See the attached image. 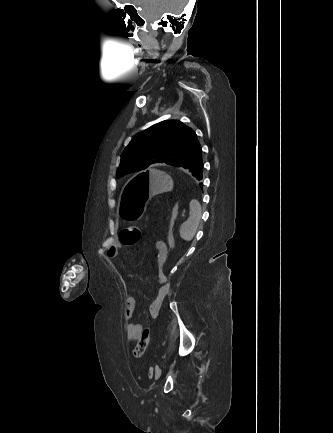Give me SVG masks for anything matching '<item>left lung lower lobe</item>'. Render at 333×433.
Returning <instances> with one entry per match:
<instances>
[{
  "mask_svg": "<svg viewBox=\"0 0 333 433\" xmlns=\"http://www.w3.org/2000/svg\"><path fill=\"white\" fill-rule=\"evenodd\" d=\"M181 168L191 173L197 180H201L203 178L202 149L194 157L184 163Z\"/></svg>",
  "mask_w": 333,
  "mask_h": 433,
  "instance_id": "0a47b994",
  "label": "left lung lower lobe"
}]
</instances>
